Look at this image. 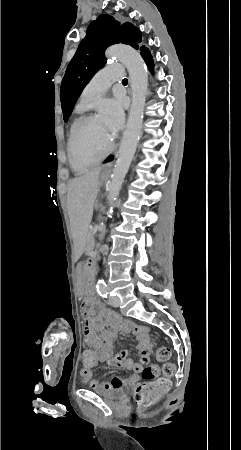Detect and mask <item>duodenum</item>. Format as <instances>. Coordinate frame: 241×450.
<instances>
[{
	"label": "duodenum",
	"mask_w": 241,
	"mask_h": 450,
	"mask_svg": "<svg viewBox=\"0 0 241 450\" xmlns=\"http://www.w3.org/2000/svg\"><path fill=\"white\" fill-rule=\"evenodd\" d=\"M85 268L87 272L86 277V287L89 292H92L94 289V280H95V262L93 259H89L85 263Z\"/></svg>",
	"instance_id": "obj_1"
}]
</instances>
